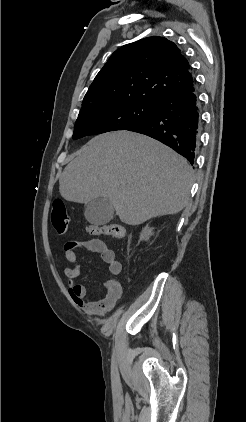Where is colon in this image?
<instances>
[{
	"mask_svg": "<svg viewBox=\"0 0 246 422\" xmlns=\"http://www.w3.org/2000/svg\"><path fill=\"white\" fill-rule=\"evenodd\" d=\"M51 221L54 229L58 233H65L69 226V216L65 204L62 200L56 199L52 204ZM87 233L90 235H108L117 239L125 236V229L117 223H108L102 225H89L86 227Z\"/></svg>",
	"mask_w": 246,
	"mask_h": 422,
	"instance_id": "5ec220e1",
	"label": "colon"
}]
</instances>
